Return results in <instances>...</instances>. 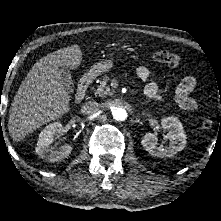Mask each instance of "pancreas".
Masks as SVG:
<instances>
[{"label": "pancreas", "instance_id": "cf45deb5", "mask_svg": "<svg viewBox=\"0 0 221 221\" xmlns=\"http://www.w3.org/2000/svg\"><path fill=\"white\" fill-rule=\"evenodd\" d=\"M109 81V77L105 76L101 79L97 89L95 90V94H98L100 97H104L107 95H113L114 91H112L109 87H107V83Z\"/></svg>", "mask_w": 221, "mask_h": 221}]
</instances>
